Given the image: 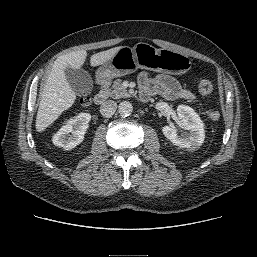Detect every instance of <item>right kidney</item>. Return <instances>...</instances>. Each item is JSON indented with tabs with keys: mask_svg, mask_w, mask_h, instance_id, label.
Segmentation results:
<instances>
[{
	"mask_svg": "<svg viewBox=\"0 0 257 257\" xmlns=\"http://www.w3.org/2000/svg\"><path fill=\"white\" fill-rule=\"evenodd\" d=\"M91 115L89 113H80L76 117L67 121L52 138L55 146L64 150H71L79 145L89 127ZM72 133V135H70Z\"/></svg>",
	"mask_w": 257,
	"mask_h": 257,
	"instance_id": "right-kidney-1",
	"label": "right kidney"
}]
</instances>
